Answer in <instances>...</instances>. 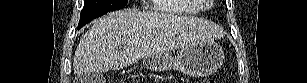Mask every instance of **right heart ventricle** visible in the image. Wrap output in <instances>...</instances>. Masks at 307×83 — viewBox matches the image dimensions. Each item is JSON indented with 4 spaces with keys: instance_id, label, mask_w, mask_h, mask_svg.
Segmentation results:
<instances>
[{
    "instance_id": "e07e8e85",
    "label": "right heart ventricle",
    "mask_w": 307,
    "mask_h": 83,
    "mask_svg": "<svg viewBox=\"0 0 307 83\" xmlns=\"http://www.w3.org/2000/svg\"><path fill=\"white\" fill-rule=\"evenodd\" d=\"M155 9L166 15L197 13V8L189 0H155Z\"/></svg>"
}]
</instances>
